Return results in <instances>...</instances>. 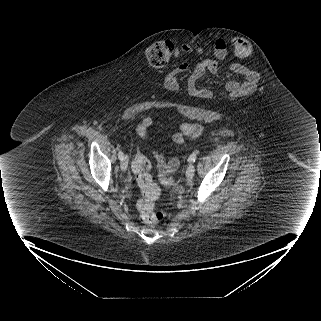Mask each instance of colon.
<instances>
[{
    "instance_id": "colon-1",
    "label": "colon",
    "mask_w": 321,
    "mask_h": 321,
    "mask_svg": "<svg viewBox=\"0 0 321 321\" xmlns=\"http://www.w3.org/2000/svg\"><path fill=\"white\" fill-rule=\"evenodd\" d=\"M230 44L235 54L239 57H246L251 53V44L245 38L233 37L230 40ZM191 53L200 55L202 50L164 40L155 42L147 48L146 59L153 69L163 70L172 58ZM132 168L141 190V198L137 202L139 217L144 224L155 225L164 215L156 211L155 208L160 190L150 174V163L143 154L137 153L134 157ZM161 182L166 187L174 184V180L169 177H163Z\"/></svg>"
}]
</instances>
